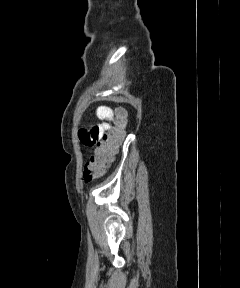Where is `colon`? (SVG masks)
I'll use <instances>...</instances> for the list:
<instances>
[{
    "label": "colon",
    "mask_w": 240,
    "mask_h": 288,
    "mask_svg": "<svg viewBox=\"0 0 240 288\" xmlns=\"http://www.w3.org/2000/svg\"><path fill=\"white\" fill-rule=\"evenodd\" d=\"M126 122L127 116L125 111L123 109H118L114 125L110 130L103 133L100 140L96 143L93 154L85 164L83 170L85 182H90L100 177L113 160L124 139Z\"/></svg>",
    "instance_id": "5ec220e1"
}]
</instances>
